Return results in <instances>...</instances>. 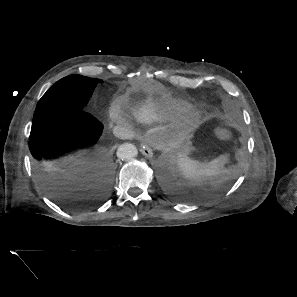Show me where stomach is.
Wrapping results in <instances>:
<instances>
[{
  "instance_id": "1",
  "label": "stomach",
  "mask_w": 297,
  "mask_h": 297,
  "mask_svg": "<svg viewBox=\"0 0 297 297\" xmlns=\"http://www.w3.org/2000/svg\"><path fill=\"white\" fill-rule=\"evenodd\" d=\"M192 150V146L191 144L185 143L184 145H182L181 149H180V154H184V155H188Z\"/></svg>"
}]
</instances>
